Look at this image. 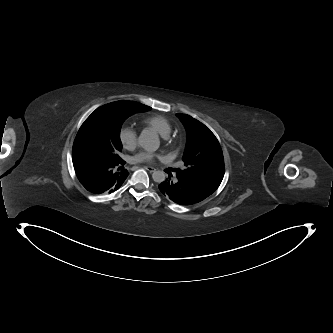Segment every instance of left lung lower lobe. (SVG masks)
<instances>
[{"instance_id":"left-lung-lower-lobe-1","label":"left lung lower lobe","mask_w":333,"mask_h":333,"mask_svg":"<svg viewBox=\"0 0 333 333\" xmlns=\"http://www.w3.org/2000/svg\"><path fill=\"white\" fill-rule=\"evenodd\" d=\"M159 190L163 196L179 205H192L208 197L192 184L172 174L160 183Z\"/></svg>"}]
</instances>
